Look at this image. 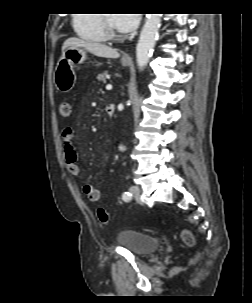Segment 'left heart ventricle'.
I'll return each mask as SVG.
<instances>
[{
	"label": "left heart ventricle",
	"instance_id": "1",
	"mask_svg": "<svg viewBox=\"0 0 252 303\" xmlns=\"http://www.w3.org/2000/svg\"><path fill=\"white\" fill-rule=\"evenodd\" d=\"M108 15H112V14H108ZM110 22H111V25L113 26V28H114L115 30H117V28H116V26L114 25V22H113V20H112V16H110Z\"/></svg>",
	"mask_w": 252,
	"mask_h": 303
}]
</instances>
